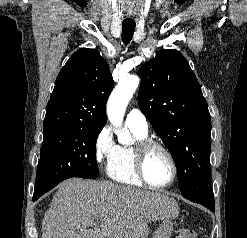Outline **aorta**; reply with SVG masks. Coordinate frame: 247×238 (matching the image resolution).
Here are the masks:
<instances>
[{"label":"aorta","instance_id":"aorta-1","mask_svg":"<svg viewBox=\"0 0 247 238\" xmlns=\"http://www.w3.org/2000/svg\"><path fill=\"white\" fill-rule=\"evenodd\" d=\"M137 76H126L119 80L117 86L111 93L107 103V116L111 124L117 128L116 135L119 143L129 144L131 134L128 130L121 129L123 117L134 92L139 85Z\"/></svg>","mask_w":247,"mask_h":238}]
</instances>
